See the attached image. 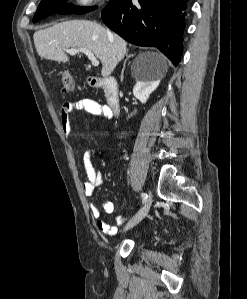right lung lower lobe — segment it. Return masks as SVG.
I'll list each match as a JSON object with an SVG mask.
<instances>
[{
	"label": "right lung lower lobe",
	"instance_id": "obj_1",
	"mask_svg": "<svg viewBox=\"0 0 247 299\" xmlns=\"http://www.w3.org/2000/svg\"><path fill=\"white\" fill-rule=\"evenodd\" d=\"M117 0L102 11L114 32L138 46L157 47L176 66L182 54L187 0Z\"/></svg>",
	"mask_w": 247,
	"mask_h": 299
}]
</instances>
